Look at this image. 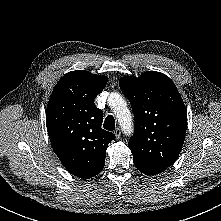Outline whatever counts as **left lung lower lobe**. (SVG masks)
Segmentation results:
<instances>
[{"label":"left lung lower lobe","mask_w":221,"mask_h":221,"mask_svg":"<svg viewBox=\"0 0 221 221\" xmlns=\"http://www.w3.org/2000/svg\"><path fill=\"white\" fill-rule=\"evenodd\" d=\"M135 166L140 172H142L144 174H147V175L159 174V173H161L165 170V169H162V168H150V167L140 166V165H137V164H135Z\"/></svg>","instance_id":"0a47b994"}]
</instances>
